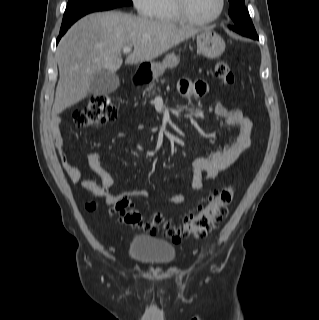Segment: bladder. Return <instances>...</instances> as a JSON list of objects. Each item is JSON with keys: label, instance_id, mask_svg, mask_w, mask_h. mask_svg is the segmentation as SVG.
I'll use <instances>...</instances> for the list:
<instances>
[{"label": "bladder", "instance_id": "31cf9c89", "mask_svg": "<svg viewBox=\"0 0 319 320\" xmlns=\"http://www.w3.org/2000/svg\"><path fill=\"white\" fill-rule=\"evenodd\" d=\"M128 254L139 263L166 265L174 261L176 249L167 241L138 234L131 238Z\"/></svg>", "mask_w": 319, "mask_h": 320}]
</instances>
